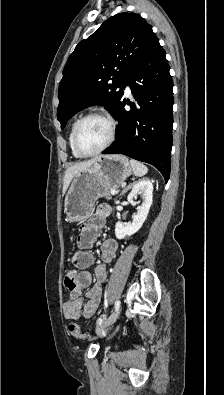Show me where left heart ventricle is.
<instances>
[{
	"label": "left heart ventricle",
	"mask_w": 224,
	"mask_h": 395,
	"mask_svg": "<svg viewBox=\"0 0 224 395\" xmlns=\"http://www.w3.org/2000/svg\"><path fill=\"white\" fill-rule=\"evenodd\" d=\"M109 125L101 118L93 117L84 121L78 134V145L85 153L99 149L109 137Z\"/></svg>",
	"instance_id": "b2bd125f"
}]
</instances>
